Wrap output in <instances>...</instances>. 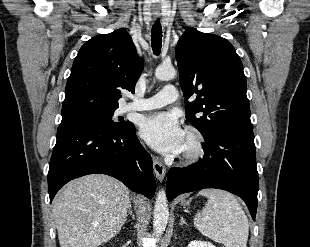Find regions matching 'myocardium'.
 Returning a JSON list of instances; mask_svg holds the SVG:
<instances>
[{
  "label": "myocardium",
  "instance_id": "1",
  "mask_svg": "<svg viewBox=\"0 0 310 247\" xmlns=\"http://www.w3.org/2000/svg\"><path fill=\"white\" fill-rule=\"evenodd\" d=\"M187 145L181 150L182 159L194 162L198 160L204 153L205 144L202 133L195 127L186 129Z\"/></svg>",
  "mask_w": 310,
  "mask_h": 247
}]
</instances>
